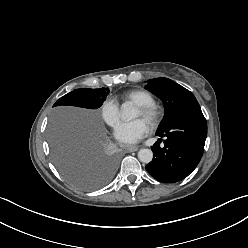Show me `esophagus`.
<instances>
[{"instance_id":"1","label":"esophagus","mask_w":248,"mask_h":248,"mask_svg":"<svg viewBox=\"0 0 248 248\" xmlns=\"http://www.w3.org/2000/svg\"><path fill=\"white\" fill-rule=\"evenodd\" d=\"M124 149L126 150V152H134L138 150L137 146H125Z\"/></svg>"}]
</instances>
